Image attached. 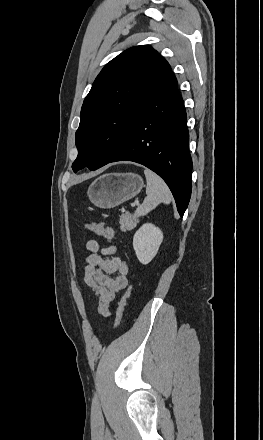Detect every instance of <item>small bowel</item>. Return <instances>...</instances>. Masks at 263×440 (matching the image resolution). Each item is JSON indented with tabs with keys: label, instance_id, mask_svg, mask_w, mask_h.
<instances>
[{
	"label": "small bowel",
	"instance_id": "c3829d8e",
	"mask_svg": "<svg viewBox=\"0 0 263 440\" xmlns=\"http://www.w3.org/2000/svg\"><path fill=\"white\" fill-rule=\"evenodd\" d=\"M86 248L91 254L86 258L83 282L98 303V313L108 317L111 302L127 287L128 266L114 246L104 248L96 240H89Z\"/></svg>",
	"mask_w": 263,
	"mask_h": 440
}]
</instances>
